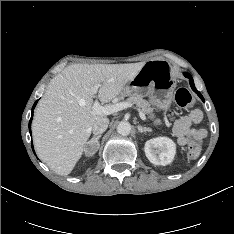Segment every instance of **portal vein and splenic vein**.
Segmentation results:
<instances>
[{"mask_svg":"<svg viewBox=\"0 0 234 234\" xmlns=\"http://www.w3.org/2000/svg\"><path fill=\"white\" fill-rule=\"evenodd\" d=\"M100 87L99 84L93 86L91 88V91L96 94L98 92V88ZM128 107H131V104L128 102H120L116 104H111V105H106V106H101L98 100H95L92 106V110L95 114H100V115H110L113 113H116L118 111L127 109ZM140 118L142 120H146V116L142 111H139Z\"/></svg>","mask_w":234,"mask_h":234,"instance_id":"obj_1","label":"portal vein and splenic vein"}]
</instances>
